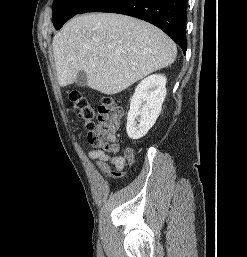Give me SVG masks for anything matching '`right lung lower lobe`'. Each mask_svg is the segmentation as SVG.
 I'll list each match as a JSON object with an SVG mask.
<instances>
[{"label":"right lung lower lobe","mask_w":247,"mask_h":257,"mask_svg":"<svg viewBox=\"0 0 247 257\" xmlns=\"http://www.w3.org/2000/svg\"><path fill=\"white\" fill-rule=\"evenodd\" d=\"M187 0H92L79 13L110 12L145 20L168 34L186 53Z\"/></svg>","instance_id":"1"}]
</instances>
